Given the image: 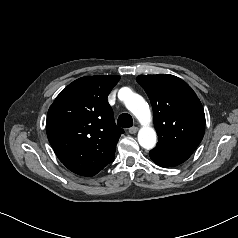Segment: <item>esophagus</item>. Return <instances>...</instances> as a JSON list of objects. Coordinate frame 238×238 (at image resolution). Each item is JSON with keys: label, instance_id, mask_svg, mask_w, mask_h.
Returning a JSON list of instances; mask_svg holds the SVG:
<instances>
[{"label": "esophagus", "instance_id": "34e87169", "mask_svg": "<svg viewBox=\"0 0 238 238\" xmlns=\"http://www.w3.org/2000/svg\"><path fill=\"white\" fill-rule=\"evenodd\" d=\"M137 131H138V127H136V126H133V127H131V128H129V133L130 134H135V133H137Z\"/></svg>", "mask_w": 238, "mask_h": 238}]
</instances>
